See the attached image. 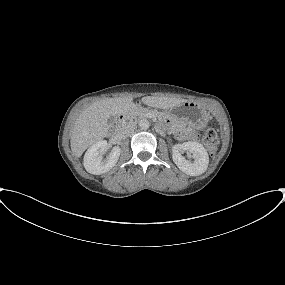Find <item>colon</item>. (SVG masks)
I'll return each instance as SVG.
<instances>
[{"label":"colon","mask_w":285,"mask_h":285,"mask_svg":"<svg viewBox=\"0 0 285 285\" xmlns=\"http://www.w3.org/2000/svg\"><path fill=\"white\" fill-rule=\"evenodd\" d=\"M203 141L210 152H213L218 144V135L215 129L208 128L203 134Z\"/></svg>","instance_id":"1"}]
</instances>
